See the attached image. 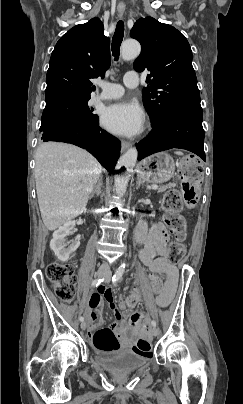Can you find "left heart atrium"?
<instances>
[{
  "instance_id": "39dd6f15",
  "label": "left heart atrium",
  "mask_w": 243,
  "mask_h": 404,
  "mask_svg": "<svg viewBox=\"0 0 243 404\" xmlns=\"http://www.w3.org/2000/svg\"><path fill=\"white\" fill-rule=\"evenodd\" d=\"M145 115L142 108L132 100H121L106 106L101 113V123L109 132L133 137L144 128Z\"/></svg>"
}]
</instances>
